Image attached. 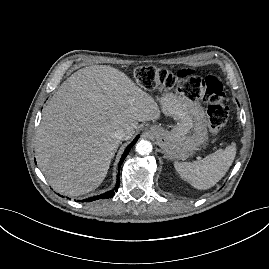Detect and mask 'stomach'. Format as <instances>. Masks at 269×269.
<instances>
[{
	"label": "stomach",
	"instance_id": "0dacf381",
	"mask_svg": "<svg viewBox=\"0 0 269 269\" xmlns=\"http://www.w3.org/2000/svg\"><path fill=\"white\" fill-rule=\"evenodd\" d=\"M161 108L177 124L171 131L159 125L150 127L157 144L168 159H187L208 138L206 114L195 101L171 93L161 98Z\"/></svg>",
	"mask_w": 269,
	"mask_h": 269
}]
</instances>
